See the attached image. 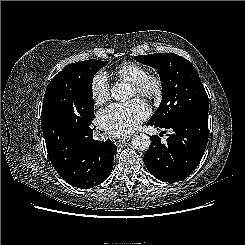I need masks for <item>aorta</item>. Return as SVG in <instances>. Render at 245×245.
I'll return each mask as SVG.
<instances>
[{
    "label": "aorta",
    "instance_id": "aorta-1",
    "mask_svg": "<svg viewBox=\"0 0 245 245\" xmlns=\"http://www.w3.org/2000/svg\"><path fill=\"white\" fill-rule=\"evenodd\" d=\"M111 96L116 101L124 102L129 98V93L123 84H115L111 88ZM131 144L134 149L144 151L150 147L151 140L147 134L139 133L133 136Z\"/></svg>",
    "mask_w": 245,
    "mask_h": 245
}]
</instances>
